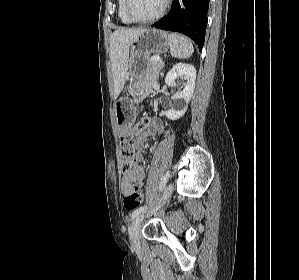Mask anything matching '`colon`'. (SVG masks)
I'll return each mask as SVG.
<instances>
[{
	"label": "colon",
	"instance_id": "colon-1",
	"mask_svg": "<svg viewBox=\"0 0 299 280\" xmlns=\"http://www.w3.org/2000/svg\"><path fill=\"white\" fill-rule=\"evenodd\" d=\"M148 119L140 120L138 125H133L129 135L121 138V156L123 159V171L130 170L134 167L135 147L138 141V136L146 132L145 127L148 124ZM143 200L142 193L134 186L132 192L124 197V207L129 210H135Z\"/></svg>",
	"mask_w": 299,
	"mask_h": 280
}]
</instances>
